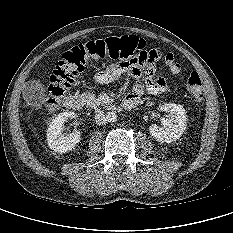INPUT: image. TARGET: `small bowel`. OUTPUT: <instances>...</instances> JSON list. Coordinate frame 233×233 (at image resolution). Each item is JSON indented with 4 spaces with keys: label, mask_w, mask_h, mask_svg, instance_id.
Listing matches in <instances>:
<instances>
[{
    "label": "small bowel",
    "mask_w": 233,
    "mask_h": 233,
    "mask_svg": "<svg viewBox=\"0 0 233 233\" xmlns=\"http://www.w3.org/2000/svg\"><path fill=\"white\" fill-rule=\"evenodd\" d=\"M166 60L167 53L164 49L143 48L135 57L126 58L123 62L112 64L104 71L97 73L94 81L97 84H107L115 79H125L130 75L146 85L150 94H160L166 90L167 83L163 77L156 78L153 68L163 65ZM142 93L143 87L140 83H136L130 94L139 97Z\"/></svg>",
    "instance_id": "c3829d8e"
}]
</instances>
